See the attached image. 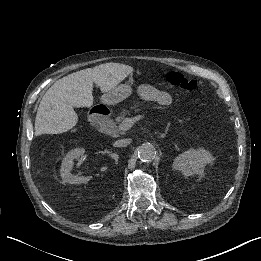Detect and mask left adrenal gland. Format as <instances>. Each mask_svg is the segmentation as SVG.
<instances>
[{
    "mask_svg": "<svg viewBox=\"0 0 261 261\" xmlns=\"http://www.w3.org/2000/svg\"><path fill=\"white\" fill-rule=\"evenodd\" d=\"M168 130H169V127H167V128L165 129V132L162 133V134L159 136V138H164V137L167 135Z\"/></svg>",
    "mask_w": 261,
    "mask_h": 261,
    "instance_id": "left-adrenal-gland-1",
    "label": "left adrenal gland"
}]
</instances>
